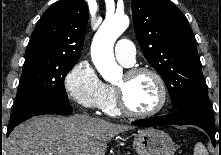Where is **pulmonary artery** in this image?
<instances>
[{
  "mask_svg": "<svg viewBox=\"0 0 221 155\" xmlns=\"http://www.w3.org/2000/svg\"><path fill=\"white\" fill-rule=\"evenodd\" d=\"M116 59L125 66H131L135 61V48L128 39H121L115 46Z\"/></svg>",
  "mask_w": 221,
  "mask_h": 155,
  "instance_id": "pulmonary-artery-1",
  "label": "pulmonary artery"
}]
</instances>
